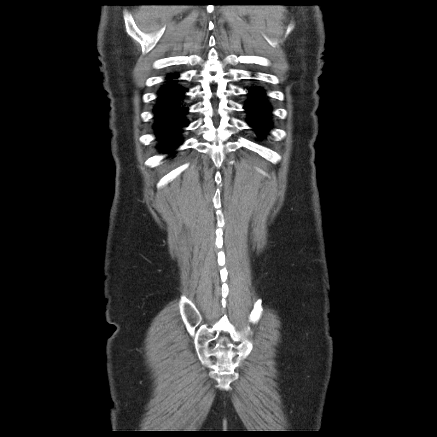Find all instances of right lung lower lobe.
I'll list each match as a JSON object with an SVG mask.
<instances>
[{
	"label": "right lung lower lobe",
	"instance_id": "98d812e1",
	"mask_svg": "<svg viewBox=\"0 0 437 437\" xmlns=\"http://www.w3.org/2000/svg\"><path fill=\"white\" fill-rule=\"evenodd\" d=\"M178 73H170L157 95L154 107L155 133L159 147L170 152L182 144L181 134L188 126V107L184 102L186 88L178 82Z\"/></svg>",
	"mask_w": 437,
	"mask_h": 437
}]
</instances>
